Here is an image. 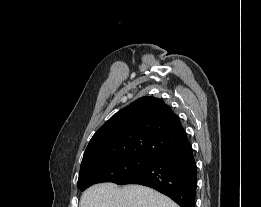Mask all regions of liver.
Masks as SVG:
<instances>
[{
    "instance_id": "obj_1",
    "label": "liver",
    "mask_w": 261,
    "mask_h": 207,
    "mask_svg": "<svg viewBox=\"0 0 261 207\" xmlns=\"http://www.w3.org/2000/svg\"><path fill=\"white\" fill-rule=\"evenodd\" d=\"M80 207H179L167 196L141 185L99 183L86 189Z\"/></svg>"
}]
</instances>
